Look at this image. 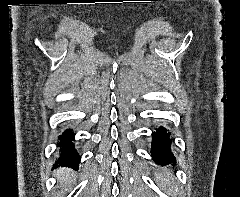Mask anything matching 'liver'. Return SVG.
<instances>
[{"label":"liver","mask_w":240,"mask_h":197,"mask_svg":"<svg viewBox=\"0 0 240 197\" xmlns=\"http://www.w3.org/2000/svg\"><path fill=\"white\" fill-rule=\"evenodd\" d=\"M61 182H67L70 177V171L68 169H58L55 171Z\"/></svg>","instance_id":"obj_1"}]
</instances>
